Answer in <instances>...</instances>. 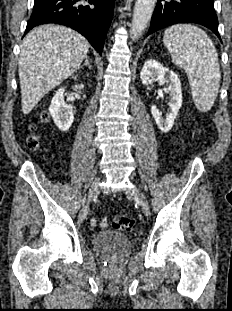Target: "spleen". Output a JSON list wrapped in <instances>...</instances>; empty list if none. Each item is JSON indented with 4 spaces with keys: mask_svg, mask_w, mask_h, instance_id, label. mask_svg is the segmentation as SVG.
I'll use <instances>...</instances> for the list:
<instances>
[{
    "mask_svg": "<svg viewBox=\"0 0 232 311\" xmlns=\"http://www.w3.org/2000/svg\"><path fill=\"white\" fill-rule=\"evenodd\" d=\"M163 41L172 61L187 73L197 109L207 112L220 87V66L213 42L202 29L190 24L169 27Z\"/></svg>",
    "mask_w": 232,
    "mask_h": 311,
    "instance_id": "spleen-1",
    "label": "spleen"
}]
</instances>
